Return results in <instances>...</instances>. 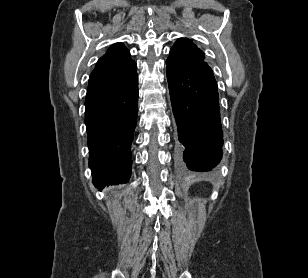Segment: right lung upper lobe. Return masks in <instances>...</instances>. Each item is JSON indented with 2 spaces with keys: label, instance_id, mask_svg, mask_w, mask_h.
I'll use <instances>...</instances> for the list:
<instances>
[{
  "label": "right lung upper lobe",
  "instance_id": "obj_1",
  "mask_svg": "<svg viewBox=\"0 0 308 278\" xmlns=\"http://www.w3.org/2000/svg\"><path fill=\"white\" fill-rule=\"evenodd\" d=\"M136 63L121 43L113 44L92 71L87 91L113 88L126 83L136 73Z\"/></svg>",
  "mask_w": 308,
  "mask_h": 278
}]
</instances>
